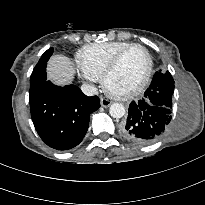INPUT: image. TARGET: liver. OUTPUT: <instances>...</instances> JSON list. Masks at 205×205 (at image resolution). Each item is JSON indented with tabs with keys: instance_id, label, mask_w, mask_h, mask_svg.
Returning a JSON list of instances; mask_svg holds the SVG:
<instances>
[{
	"instance_id": "6515ba94",
	"label": "liver",
	"mask_w": 205,
	"mask_h": 205,
	"mask_svg": "<svg viewBox=\"0 0 205 205\" xmlns=\"http://www.w3.org/2000/svg\"><path fill=\"white\" fill-rule=\"evenodd\" d=\"M47 77L57 85H66L73 81L74 67L71 60L63 55H53L48 61Z\"/></svg>"
}]
</instances>
